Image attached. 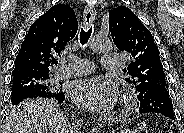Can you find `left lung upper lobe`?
I'll return each instance as SVG.
<instances>
[{
    "label": "left lung upper lobe",
    "instance_id": "5c2ea615",
    "mask_svg": "<svg viewBox=\"0 0 184 133\" xmlns=\"http://www.w3.org/2000/svg\"><path fill=\"white\" fill-rule=\"evenodd\" d=\"M109 29L117 48L131 55V63L123 71L129 74L126 81L138 95L157 84L168 88L158 47L149 30L129 8L121 6L109 11ZM160 98V94L155 96L157 100Z\"/></svg>",
    "mask_w": 184,
    "mask_h": 133
}]
</instances>
